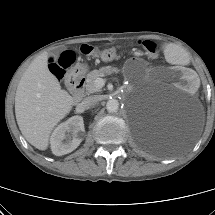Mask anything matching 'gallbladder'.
I'll return each instance as SVG.
<instances>
[{
	"label": "gallbladder",
	"instance_id": "obj_1",
	"mask_svg": "<svg viewBox=\"0 0 215 215\" xmlns=\"http://www.w3.org/2000/svg\"><path fill=\"white\" fill-rule=\"evenodd\" d=\"M64 50H65V48H63V47L56 48V49H54V50L50 53V56L56 58V57H58Z\"/></svg>",
	"mask_w": 215,
	"mask_h": 215
}]
</instances>
